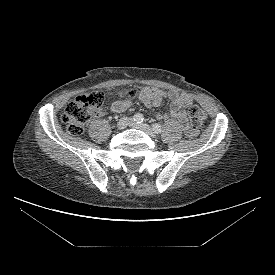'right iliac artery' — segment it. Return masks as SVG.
I'll list each match as a JSON object with an SVG mask.
<instances>
[{
  "label": "right iliac artery",
  "mask_w": 275,
  "mask_h": 275,
  "mask_svg": "<svg viewBox=\"0 0 275 275\" xmlns=\"http://www.w3.org/2000/svg\"><path fill=\"white\" fill-rule=\"evenodd\" d=\"M133 119L136 123H142L143 120H144V117H143L142 114L137 113V114L134 115Z\"/></svg>",
  "instance_id": "right-iliac-artery-1"
}]
</instances>
